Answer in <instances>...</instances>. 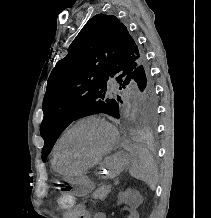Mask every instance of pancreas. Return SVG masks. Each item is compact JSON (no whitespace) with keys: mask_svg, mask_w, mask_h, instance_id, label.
I'll list each match as a JSON object with an SVG mask.
<instances>
[{"mask_svg":"<svg viewBox=\"0 0 211 218\" xmlns=\"http://www.w3.org/2000/svg\"><path fill=\"white\" fill-rule=\"evenodd\" d=\"M110 190L111 186H101V188H98V190L93 192L91 198H95V200H103V198H106L107 194H109Z\"/></svg>","mask_w":211,"mask_h":218,"instance_id":"pancreas-1","label":"pancreas"}]
</instances>
